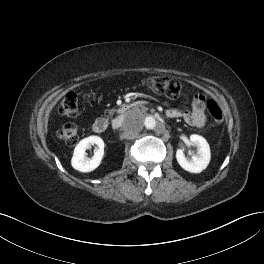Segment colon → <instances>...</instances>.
Instances as JSON below:
<instances>
[{"label":"colon","instance_id":"1","mask_svg":"<svg viewBox=\"0 0 264 264\" xmlns=\"http://www.w3.org/2000/svg\"><path fill=\"white\" fill-rule=\"evenodd\" d=\"M143 84L152 91L170 98L186 97L182 86L178 82L166 77L147 78L143 81ZM89 97L90 94L68 93L60 101L59 112L62 115L75 116L79 111L80 102ZM207 111L216 124L223 121V112L216 101L209 100L207 102ZM57 136L65 144L74 145L79 139L78 127L74 123H67L59 129Z\"/></svg>","mask_w":264,"mask_h":264}]
</instances>
